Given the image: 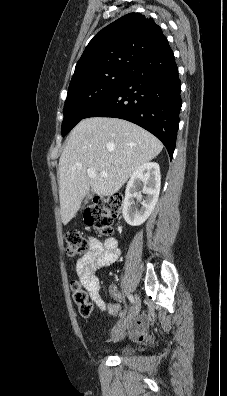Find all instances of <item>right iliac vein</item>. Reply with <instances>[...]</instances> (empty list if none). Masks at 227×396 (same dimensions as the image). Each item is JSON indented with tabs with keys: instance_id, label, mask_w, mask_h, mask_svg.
<instances>
[{
	"instance_id": "obj_1",
	"label": "right iliac vein",
	"mask_w": 227,
	"mask_h": 396,
	"mask_svg": "<svg viewBox=\"0 0 227 396\" xmlns=\"http://www.w3.org/2000/svg\"><path fill=\"white\" fill-rule=\"evenodd\" d=\"M140 306H141V302L139 297L135 298L134 304L132 306V309L127 317V320L125 321L123 328L126 329L129 324L131 323V321L138 315L139 311H140Z\"/></svg>"
}]
</instances>
